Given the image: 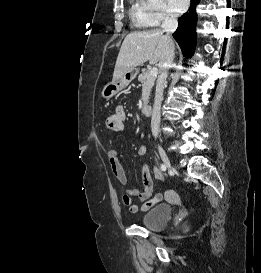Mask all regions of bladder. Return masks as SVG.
Masks as SVG:
<instances>
[{
  "instance_id": "obj_1",
  "label": "bladder",
  "mask_w": 261,
  "mask_h": 273,
  "mask_svg": "<svg viewBox=\"0 0 261 273\" xmlns=\"http://www.w3.org/2000/svg\"><path fill=\"white\" fill-rule=\"evenodd\" d=\"M172 217V205L159 203L150 208L142 217V226L151 230L165 228Z\"/></svg>"
}]
</instances>
